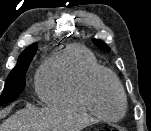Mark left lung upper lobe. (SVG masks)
<instances>
[{"instance_id":"1","label":"left lung upper lobe","mask_w":151,"mask_h":131,"mask_svg":"<svg viewBox=\"0 0 151 131\" xmlns=\"http://www.w3.org/2000/svg\"><path fill=\"white\" fill-rule=\"evenodd\" d=\"M93 43L100 49H103L104 51H110V48L104 44L101 40L93 39Z\"/></svg>"}]
</instances>
